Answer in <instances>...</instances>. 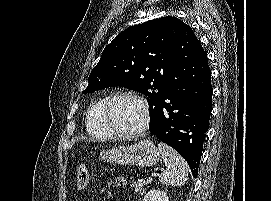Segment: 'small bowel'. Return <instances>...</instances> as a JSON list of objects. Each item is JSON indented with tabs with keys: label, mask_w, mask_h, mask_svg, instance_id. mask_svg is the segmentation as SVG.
Returning <instances> with one entry per match:
<instances>
[{
	"label": "small bowel",
	"mask_w": 271,
	"mask_h": 201,
	"mask_svg": "<svg viewBox=\"0 0 271 201\" xmlns=\"http://www.w3.org/2000/svg\"><path fill=\"white\" fill-rule=\"evenodd\" d=\"M114 184L119 189H124L127 186V181L123 177H116L114 179Z\"/></svg>",
	"instance_id": "obj_1"
}]
</instances>
